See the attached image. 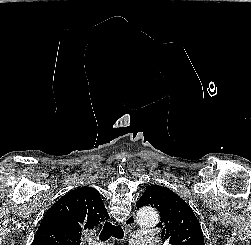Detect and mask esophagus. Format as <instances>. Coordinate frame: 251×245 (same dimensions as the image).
Here are the masks:
<instances>
[{
    "instance_id": "1",
    "label": "esophagus",
    "mask_w": 251,
    "mask_h": 245,
    "mask_svg": "<svg viewBox=\"0 0 251 245\" xmlns=\"http://www.w3.org/2000/svg\"><path fill=\"white\" fill-rule=\"evenodd\" d=\"M136 223L135 214H130L124 222L125 227H131Z\"/></svg>"
}]
</instances>
